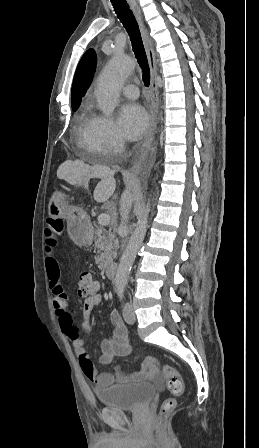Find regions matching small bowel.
<instances>
[{
	"label": "small bowel",
	"mask_w": 259,
	"mask_h": 448,
	"mask_svg": "<svg viewBox=\"0 0 259 448\" xmlns=\"http://www.w3.org/2000/svg\"><path fill=\"white\" fill-rule=\"evenodd\" d=\"M62 232L63 223L60 220L49 219L47 221L44 232L45 268L60 328L71 340L84 375L99 388H104L114 383L141 382L157 378L159 373L157 360L154 357H147L142 365V369L130 375H125L120 367H116L113 372H99L91 362L85 349V340L92 331L90 321L92 310L101 303L102 296L97 293L85 299L82 308V332L80 333L73 325L71 315L67 309L68 300L60 277V266L56 249ZM110 319L114 330L109 337L104 338L101 342L99 362L102 365L110 364L113 356H127L131 353L127 329L120 315L116 311H112Z\"/></svg>",
	"instance_id": "1"
}]
</instances>
